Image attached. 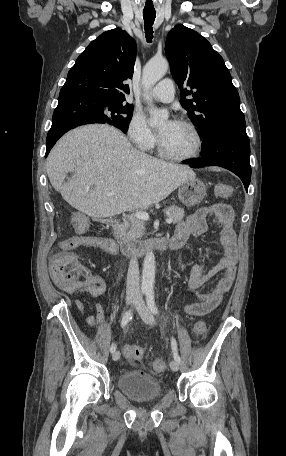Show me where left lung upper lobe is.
<instances>
[{
	"label": "left lung upper lobe",
	"instance_id": "1",
	"mask_svg": "<svg viewBox=\"0 0 286 456\" xmlns=\"http://www.w3.org/2000/svg\"><path fill=\"white\" fill-rule=\"evenodd\" d=\"M171 73L182 89L181 104L198 127L204 144L220 134H246L240 98L223 58L196 31L175 26L165 45ZM192 99H186V96Z\"/></svg>",
	"mask_w": 286,
	"mask_h": 456
}]
</instances>
